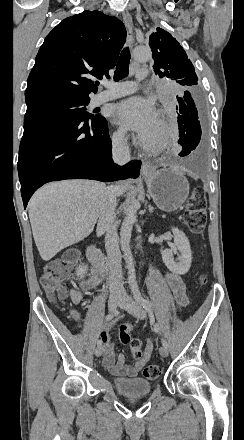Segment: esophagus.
Segmentation results:
<instances>
[{
	"instance_id": "1",
	"label": "esophagus",
	"mask_w": 244,
	"mask_h": 440,
	"mask_svg": "<svg viewBox=\"0 0 244 440\" xmlns=\"http://www.w3.org/2000/svg\"><path fill=\"white\" fill-rule=\"evenodd\" d=\"M122 18H123L124 24L126 25L129 33L133 34V21H132L131 15L128 12H123ZM134 43H135L134 36L131 35L130 36V48L131 49L133 48ZM152 166H153V163L151 161L143 162L142 167H141V173L143 175L149 173Z\"/></svg>"
}]
</instances>
